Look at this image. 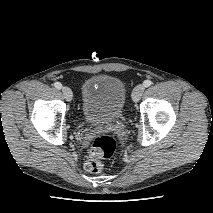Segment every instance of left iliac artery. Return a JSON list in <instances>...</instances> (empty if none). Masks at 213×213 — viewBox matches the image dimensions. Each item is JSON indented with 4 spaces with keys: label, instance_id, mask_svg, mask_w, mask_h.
<instances>
[{
    "label": "left iliac artery",
    "instance_id": "44dca946",
    "mask_svg": "<svg viewBox=\"0 0 213 213\" xmlns=\"http://www.w3.org/2000/svg\"><path fill=\"white\" fill-rule=\"evenodd\" d=\"M151 84H152V81H151V80H145V81L143 82L144 87H149Z\"/></svg>",
    "mask_w": 213,
    "mask_h": 213
}]
</instances>
